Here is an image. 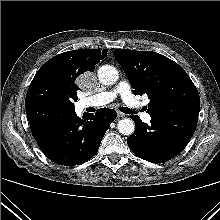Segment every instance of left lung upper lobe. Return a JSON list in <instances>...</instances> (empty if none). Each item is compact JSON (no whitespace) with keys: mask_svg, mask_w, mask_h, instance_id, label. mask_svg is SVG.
Segmentation results:
<instances>
[{"mask_svg":"<svg viewBox=\"0 0 220 220\" xmlns=\"http://www.w3.org/2000/svg\"><path fill=\"white\" fill-rule=\"evenodd\" d=\"M121 64L136 95L147 94V112L156 116L172 111L200 110L198 91L188 74L171 59L152 52L116 49Z\"/></svg>","mask_w":220,"mask_h":220,"instance_id":"5c2ea615","label":"left lung upper lobe"}]
</instances>
